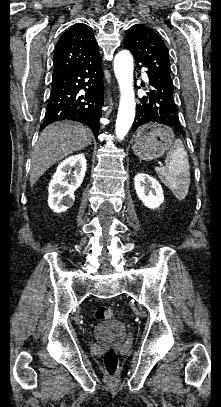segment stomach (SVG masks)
I'll list each match as a JSON object with an SVG mask.
<instances>
[{
    "label": "stomach",
    "mask_w": 221,
    "mask_h": 407,
    "mask_svg": "<svg viewBox=\"0 0 221 407\" xmlns=\"http://www.w3.org/2000/svg\"><path fill=\"white\" fill-rule=\"evenodd\" d=\"M173 140L174 133L171 129L146 124L136 132L132 149L140 159L154 160L171 147Z\"/></svg>",
    "instance_id": "stomach-1"
}]
</instances>
